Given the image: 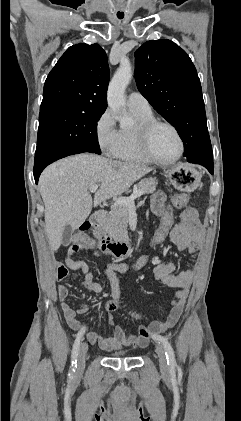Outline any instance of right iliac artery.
<instances>
[{
  "instance_id": "right-iliac-artery-1",
  "label": "right iliac artery",
  "mask_w": 241,
  "mask_h": 421,
  "mask_svg": "<svg viewBox=\"0 0 241 421\" xmlns=\"http://www.w3.org/2000/svg\"><path fill=\"white\" fill-rule=\"evenodd\" d=\"M83 334H84V330H81V331L78 332L76 340H75L74 345H73L72 362H71V368H70V371H69V377L73 376V374L76 370V367H77V356H78V351H79V348H80V343L82 341Z\"/></svg>"
}]
</instances>
